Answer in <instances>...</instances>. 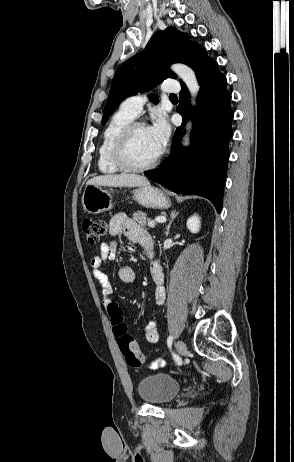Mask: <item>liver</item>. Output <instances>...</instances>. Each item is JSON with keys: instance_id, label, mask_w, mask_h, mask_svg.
Listing matches in <instances>:
<instances>
[{"instance_id": "1", "label": "liver", "mask_w": 294, "mask_h": 462, "mask_svg": "<svg viewBox=\"0 0 294 462\" xmlns=\"http://www.w3.org/2000/svg\"><path fill=\"white\" fill-rule=\"evenodd\" d=\"M86 185L140 187L149 185V181L146 177L136 174L100 175L88 180Z\"/></svg>"}]
</instances>
